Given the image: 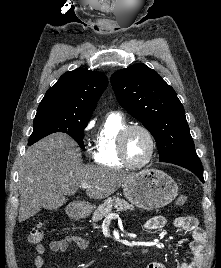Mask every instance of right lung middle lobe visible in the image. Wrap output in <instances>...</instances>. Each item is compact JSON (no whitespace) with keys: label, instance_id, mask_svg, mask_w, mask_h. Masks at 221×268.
<instances>
[{"label":"right lung middle lobe","instance_id":"1","mask_svg":"<svg viewBox=\"0 0 221 268\" xmlns=\"http://www.w3.org/2000/svg\"><path fill=\"white\" fill-rule=\"evenodd\" d=\"M89 119L67 112L37 111L28 144L32 145L51 133L62 132L71 136L84 149L83 131Z\"/></svg>","mask_w":221,"mask_h":268}]
</instances>
